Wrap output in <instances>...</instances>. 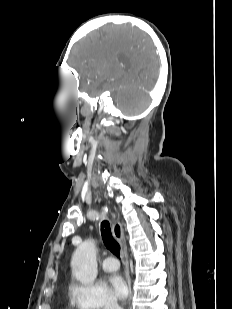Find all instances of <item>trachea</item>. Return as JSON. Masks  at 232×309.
<instances>
[{
	"instance_id": "3493384b",
	"label": "trachea",
	"mask_w": 232,
	"mask_h": 309,
	"mask_svg": "<svg viewBox=\"0 0 232 309\" xmlns=\"http://www.w3.org/2000/svg\"><path fill=\"white\" fill-rule=\"evenodd\" d=\"M101 235L105 246L116 256L120 255V245L112 236L110 223L107 220L101 223Z\"/></svg>"
}]
</instances>
